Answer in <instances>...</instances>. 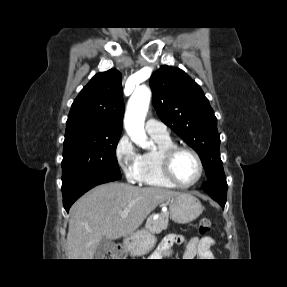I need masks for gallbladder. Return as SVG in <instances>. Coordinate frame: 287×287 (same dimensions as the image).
Wrapping results in <instances>:
<instances>
[{"label": "gallbladder", "instance_id": "bac80fb5", "mask_svg": "<svg viewBox=\"0 0 287 287\" xmlns=\"http://www.w3.org/2000/svg\"><path fill=\"white\" fill-rule=\"evenodd\" d=\"M110 240L107 237H103L101 241L99 242L96 250H95V256L96 258L100 259L104 256L106 248L109 244Z\"/></svg>", "mask_w": 287, "mask_h": 287}]
</instances>
